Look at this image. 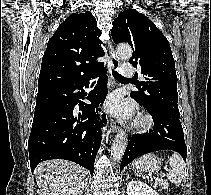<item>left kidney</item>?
<instances>
[{
	"label": "left kidney",
	"instance_id": "5707ae66",
	"mask_svg": "<svg viewBox=\"0 0 211 195\" xmlns=\"http://www.w3.org/2000/svg\"><path fill=\"white\" fill-rule=\"evenodd\" d=\"M128 195H159L156 190L140 180H132L127 184Z\"/></svg>",
	"mask_w": 211,
	"mask_h": 195
}]
</instances>
